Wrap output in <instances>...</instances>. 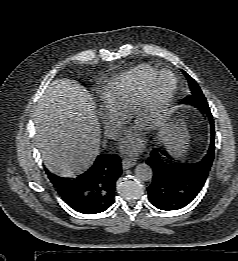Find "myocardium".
I'll list each match as a JSON object with an SVG mask.
<instances>
[{"instance_id": "myocardium-1", "label": "myocardium", "mask_w": 238, "mask_h": 261, "mask_svg": "<svg viewBox=\"0 0 238 261\" xmlns=\"http://www.w3.org/2000/svg\"><path fill=\"white\" fill-rule=\"evenodd\" d=\"M169 75L173 80V86L171 88V91L169 92L168 96L160 106V108L157 110V112L154 114L151 123L147 129L149 133H155L161 127L165 124V122L168 119L170 108L174 102V99L176 97L177 91H178V79L176 75L167 69H162L153 72L142 84L139 94L137 96V99L135 101V104L130 112V121L132 124H135L136 121L144 115L148 110V93H149V87L153 83V81L160 75Z\"/></svg>"}]
</instances>
